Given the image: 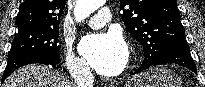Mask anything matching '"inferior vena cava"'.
Listing matches in <instances>:
<instances>
[{
    "label": "inferior vena cava",
    "mask_w": 205,
    "mask_h": 87,
    "mask_svg": "<svg viewBox=\"0 0 205 87\" xmlns=\"http://www.w3.org/2000/svg\"><path fill=\"white\" fill-rule=\"evenodd\" d=\"M71 74L77 87H93L94 77L87 64L77 65Z\"/></svg>",
    "instance_id": "602c4592"
}]
</instances>
